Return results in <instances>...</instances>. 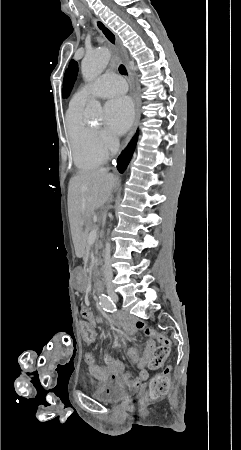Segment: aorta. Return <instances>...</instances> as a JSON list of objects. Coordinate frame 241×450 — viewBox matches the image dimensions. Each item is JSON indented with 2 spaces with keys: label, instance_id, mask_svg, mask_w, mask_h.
I'll use <instances>...</instances> for the list:
<instances>
[{
  "label": "aorta",
  "instance_id": "762f6f07",
  "mask_svg": "<svg viewBox=\"0 0 241 450\" xmlns=\"http://www.w3.org/2000/svg\"><path fill=\"white\" fill-rule=\"evenodd\" d=\"M110 59V52L106 48H99L84 57L81 72L85 80L91 81L99 76L106 68ZM86 117L91 121H101L103 110L99 101L92 100L86 108Z\"/></svg>",
  "mask_w": 241,
  "mask_h": 450
}]
</instances>
